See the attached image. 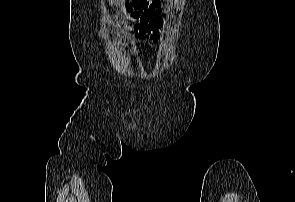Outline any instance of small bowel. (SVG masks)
Returning a JSON list of instances; mask_svg holds the SVG:
<instances>
[{
	"instance_id": "c3829d8e",
	"label": "small bowel",
	"mask_w": 295,
	"mask_h": 202,
	"mask_svg": "<svg viewBox=\"0 0 295 202\" xmlns=\"http://www.w3.org/2000/svg\"><path fill=\"white\" fill-rule=\"evenodd\" d=\"M130 19L134 24L128 28L132 43L146 41L148 47L155 48L161 41L160 30L165 25V9L160 0H137L131 4Z\"/></svg>"
}]
</instances>
